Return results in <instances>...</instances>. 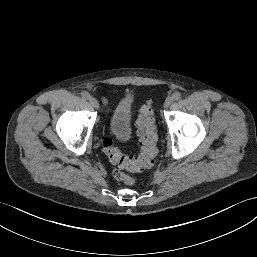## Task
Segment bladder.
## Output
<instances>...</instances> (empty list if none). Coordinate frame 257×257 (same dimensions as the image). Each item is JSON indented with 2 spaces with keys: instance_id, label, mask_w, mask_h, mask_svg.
<instances>
[{
  "instance_id": "1",
  "label": "bladder",
  "mask_w": 257,
  "mask_h": 257,
  "mask_svg": "<svg viewBox=\"0 0 257 257\" xmlns=\"http://www.w3.org/2000/svg\"><path fill=\"white\" fill-rule=\"evenodd\" d=\"M133 112L134 97L127 93L119 99L109 119L110 131L117 139H125L131 133Z\"/></svg>"
}]
</instances>
